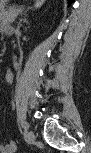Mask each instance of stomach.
Here are the masks:
<instances>
[{
	"instance_id": "1",
	"label": "stomach",
	"mask_w": 91,
	"mask_h": 153,
	"mask_svg": "<svg viewBox=\"0 0 91 153\" xmlns=\"http://www.w3.org/2000/svg\"><path fill=\"white\" fill-rule=\"evenodd\" d=\"M4 2H5L4 0H1L0 1L1 6L4 4Z\"/></svg>"
}]
</instances>
